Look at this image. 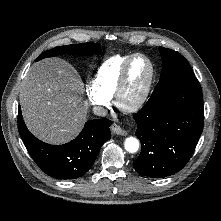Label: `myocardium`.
<instances>
[{
    "label": "myocardium",
    "mask_w": 221,
    "mask_h": 221,
    "mask_svg": "<svg viewBox=\"0 0 221 221\" xmlns=\"http://www.w3.org/2000/svg\"><path fill=\"white\" fill-rule=\"evenodd\" d=\"M137 58H142L146 60V62L149 64V67H150V74H149L148 81L145 85V88L142 91L141 95L138 97V99L134 101L133 103L126 105L123 102V98H124L125 91L127 88L129 70H130L132 63ZM154 78H155V65L153 61L144 54H141V53L133 54L124 64L120 77H119V82H118L115 95H114L116 106L125 113H134L140 110L148 99V96L150 94V91L154 82Z\"/></svg>",
    "instance_id": "1"
}]
</instances>
